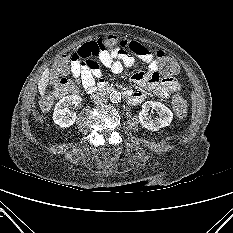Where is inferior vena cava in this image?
Returning a JSON list of instances; mask_svg holds the SVG:
<instances>
[{
  "mask_svg": "<svg viewBox=\"0 0 233 233\" xmlns=\"http://www.w3.org/2000/svg\"><path fill=\"white\" fill-rule=\"evenodd\" d=\"M94 101H95V104H97V105H103V104L107 103L108 98L106 96L96 94L94 97Z\"/></svg>",
  "mask_w": 233,
  "mask_h": 233,
  "instance_id": "obj_1",
  "label": "inferior vena cava"
}]
</instances>
